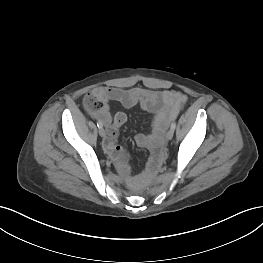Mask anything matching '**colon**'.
<instances>
[{
	"label": "colon",
	"instance_id": "5ec220e1",
	"mask_svg": "<svg viewBox=\"0 0 263 263\" xmlns=\"http://www.w3.org/2000/svg\"><path fill=\"white\" fill-rule=\"evenodd\" d=\"M83 103L85 108L93 115H99L105 109L104 101L92 93L85 96Z\"/></svg>",
	"mask_w": 263,
	"mask_h": 263
}]
</instances>
